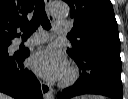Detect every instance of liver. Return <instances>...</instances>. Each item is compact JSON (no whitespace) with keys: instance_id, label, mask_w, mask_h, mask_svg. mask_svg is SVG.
Masks as SVG:
<instances>
[{"instance_id":"6515ba94","label":"liver","mask_w":128,"mask_h":99,"mask_svg":"<svg viewBox=\"0 0 128 99\" xmlns=\"http://www.w3.org/2000/svg\"><path fill=\"white\" fill-rule=\"evenodd\" d=\"M0 99H11L9 96L0 93ZM98 99H102L101 97H99Z\"/></svg>"}]
</instances>
